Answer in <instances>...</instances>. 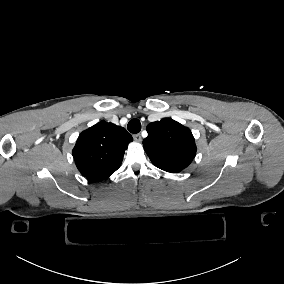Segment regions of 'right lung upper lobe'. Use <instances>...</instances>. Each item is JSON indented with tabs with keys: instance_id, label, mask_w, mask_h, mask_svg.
Masks as SVG:
<instances>
[{
	"instance_id": "cb5924a9",
	"label": "right lung upper lobe",
	"mask_w": 284,
	"mask_h": 284,
	"mask_svg": "<svg viewBox=\"0 0 284 284\" xmlns=\"http://www.w3.org/2000/svg\"><path fill=\"white\" fill-rule=\"evenodd\" d=\"M132 140L123 127L105 121L97 123L79 135L73 149L78 170L91 181L107 179L120 167Z\"/></svg>"
}]
</instances>
